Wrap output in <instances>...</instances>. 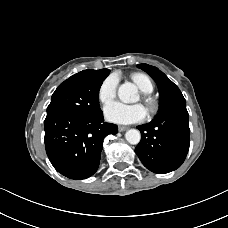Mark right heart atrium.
Returning a JSON list of instances; mask_svg holds the SVG:
<instances>
[{
	"label": "right heart atrium",
	"mask_w": 228,
	"mask_h": 228,
	"mask_svg": "<svg viewBox=\"0 0 228 228\" xmlns=\"http://www.w3.org/2000/svg\"><path fill=\"white\" fill-rule=\"evenodd\" d=\"M118 77L115 74L107 76L99 86L98 99L103 105L111 102L117 92Z\"/></svg>",
	"instance_id": "obj_1"
}]
</instances>
